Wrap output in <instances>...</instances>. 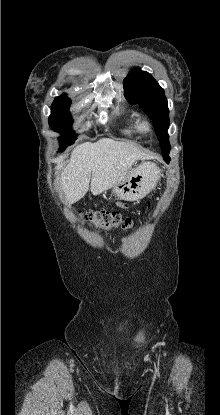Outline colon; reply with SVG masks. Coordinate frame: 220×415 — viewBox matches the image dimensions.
I'll list each match as a JSON object with an SVG mask.
<instances>
[{"mask_svg": "<svg viewBox=\"0 0 220 415\" xmlns=\"http://www.w3.org/2000/svg\"><path fill=\"white\" fill-rule=\"evenodd\" d=\"M81 217L88 223L101 229H121L124 231H134V223L125 218L118 211H86L80 213Z\"/></svg>", "mask_w": 220, "mask_h": 415, "instance_id": "5ec220e1", "label": "colon"}]
</instances>
